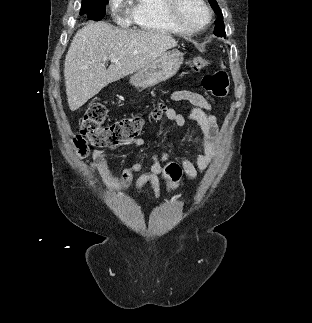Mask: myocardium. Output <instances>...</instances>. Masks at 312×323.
<instances>
[{
  "label": "myocardium",
  "instance_id": "obj_1",
  "mask_svg": "<svg viewBox=\"0 0 312 323\" xmlns=\"http://www.w3.org/2000/svg\"><path fill=\"white\" fill-rule=\"evenodd\" d=\"M191 3L182 0H168L166 3L165 13L168 15L172 25H180V31H206V25L210 24L211 17H214V10H210L205 0H190ZM198 8L200 14L198 20L196 18H184L181 16L183 8L192 6Z\"/></svg>",
  "mask_w": 312,
  "mask_h": 323
}]
</instances>
